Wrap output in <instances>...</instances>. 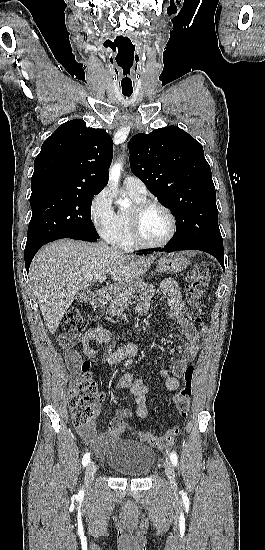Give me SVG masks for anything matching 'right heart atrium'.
<instances>
[{
  "label": "right heart atrium",
  "instance_id": "1",
  "mask_svg": "<svg viewBox=\"0 0 265 550\" xmlns=\"http://www.w3.org/2000/svg\"><path fill=\"white\" fill-rule=\"evenodd\" d=\"M89 215L96 232L105 240L110 241L117 226L116 212L108 189L98 192L92 199Z\"/></svg>",
  "mask_w": 265,
  "mask_h": 550
}]
</instances>
